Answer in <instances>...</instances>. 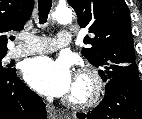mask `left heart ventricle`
I'll use <instances>...</instances> for the list:
<instances>
[{
    "mask_svg": "<svg viewBox=\"0 0 142 119\" xmlns=\"http://www.w3.org/2000/svg\"><path fill=\"white\" fill-rule=\"evenodd\" d=\"M84 92H85V85L83 83H77L76 80H74L72 90L68 95L82 96Z\"/></svg>",
    "mask_w": 142,
    "mask_h": 119,
    "instance_id": "obj_1",
    "label": "left heart ventricle"
}]
</instances>
